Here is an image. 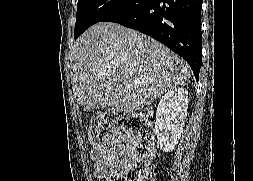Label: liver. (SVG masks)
<instances>
[{
    "mask_svg": "<svg viewBox=\"0 0 253 181\" xmlns=\"http://www.w3.org/2000/svg\"><path fill=\"white\" fill-rule=\"evenodd\" d=\"M72 61L73 93L87 112L139 110L190 78L182 58L117 23L100 22L87 29L75 43Z\"/></svg>",
    "mask_w": 253,
    "mask_h": 181,
    "instance_id": "obj_1",
    "label": "liver"
}]
</instances>
